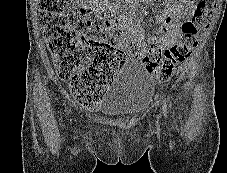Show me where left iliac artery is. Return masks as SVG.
<instances>
[{
    "label": "left iliac artery",
    "instance_id": "left-iliac-artery-1",
    "mask_svg": "<svg viewBox=\"0 0 227 173\" xmlns=\"http://www.w3.org/2000/svg\"><path fill=\"white\" fill-rule=\"evenodd\" d=\"M169 101V99L165 96L164 98V105H163V109L164 112L167 113V102Z\"/></svg>",
    "mask_w": 227,
    "mask_h": 173
}]
</instances>
